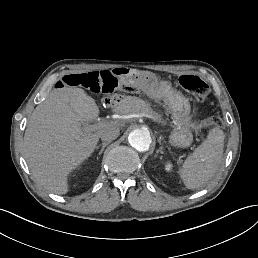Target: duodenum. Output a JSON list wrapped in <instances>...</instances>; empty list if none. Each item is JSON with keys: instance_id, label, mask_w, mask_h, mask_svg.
Returning <instances> with one entry per match:
<instances>
[{"instance_id": "obj_1", "label": "duodenum", "mask_w": 258, "mask_h": 258, "mask_svg": "<svg viewBox=\"0 0 258 258\" xmlns=\"http://www.w3.org/2000/svg\"><path fill=\"white\" fill-rule=\"evenodd\" d=\"M113 73L118 80L123 82L132 81L137 76L135 69L125 66L114 68Z\"/></svg>"}]
</instances>
